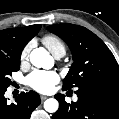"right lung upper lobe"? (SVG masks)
Here are the masks:
<instances>
[{
    "label": "right lung upper lobe",
    "instance_id": "1",
    "mask_svg": "<svg viewBox=\"0 0 119 119\" xmlns=\"http://www.w3.org/2000/svg\"><path fill=\"white\" fill-rule=\"evenodd\" d=\"M40 24L0 31V58L20 59L25 45L39 32Z\"/></svg>",
    "mask_w": 119,
    "mask_h": 119
}]
</instances>
